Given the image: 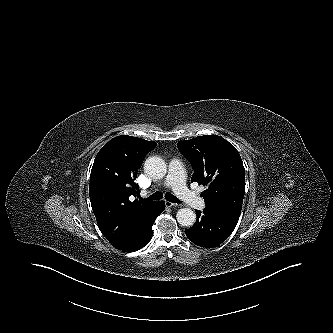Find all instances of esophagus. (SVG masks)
<instances>
[{
	"label": "esophagus",
	"mask_w": 333,
	"mask_h": 333,
	"mask_svg": "<svg viewBox=\"0 0 333 333\" xmlns=\"http://www.w3.org/2000/svg\"><path fill=\"white\" fill-rule=\"evenodd\" d=\"M165 205H166V207H176V206H178V204L172 203L170 201H165Z\"/></svg>",
	"instance_id": "1"
}]
</instances>
